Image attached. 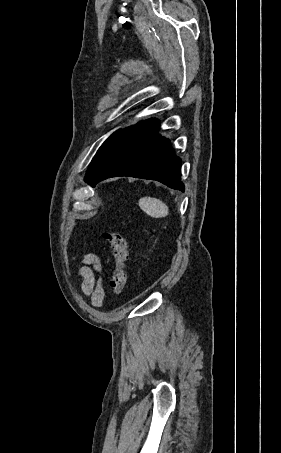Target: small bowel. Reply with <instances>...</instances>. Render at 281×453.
Here are the masks:
<instances>
[{
	"label": "small bowel",
	"instance_id": "c3829d8e",
	"mask_svg": "<svg viewBox=\"0 0 281 453\" xmlns=\"http://www.w3.org/2000/svg\"><path fill=\"white\" fill-rule=\"evenodd\" d=\"M85 262L87 265H84L79 271L81 289L91 299L94 306L100 307L105 297V291L98 278V271L102 268V264L96 255H87Z\"/></svg>",
	"mask_w": 281,
	"mask_h": 453
}]
</instances>
